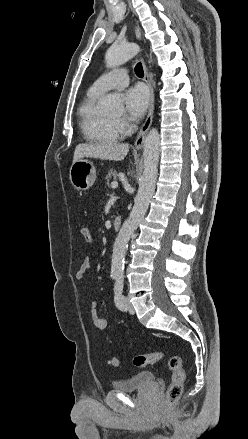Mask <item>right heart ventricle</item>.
Returning a JSON list of instances; mask_svg holds the SVG:
<instances>
[{
  "label": "right heart ventricle",
  "instance_id": "e07e8e85",
  "mask_svg": "<svg viewBox=\"0 0 248 439\" xmlns=\"http://www.w3.org/2000/svg\"><path fill=\"white\" fill-rule=\"evenodd\" d=\"M102 93L89 90L80 104V127L85 139L92 143H114L120 141L124 132L116 120L102 114L98 103Z\"/></svg>",
  "mask_w": 248,
  "mask_h": 439
}]
</instances>
